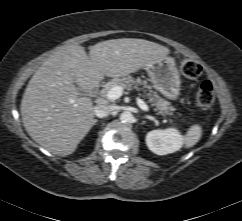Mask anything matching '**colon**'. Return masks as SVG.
Masks as SVG:
<instances>
[{"mask_svg":"<svg viewBox=\"0 0 242 221\" xmlns=\"http://www.w3.org/2000/svg\"><path fill=\"white\" fill-rule=\"evenodd\" d=\"M181 71L186 77L195 79L200 76L202 68L196 61L187 59L181 63ZM214 99L212 84L209 81L203 82L196 91V103L202 108H209L214 103Z\"/></svg>","mask_w":242,"mask_h":221,"instance_id":"5ec220e1","label":"colon"}]
</instances>
